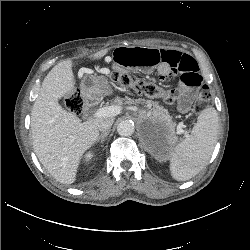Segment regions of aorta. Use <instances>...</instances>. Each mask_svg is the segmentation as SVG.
I'll return each instance as SVG.
<instances>
[{
    "label": "aorta",
    "mask_w": 250,
    "mask_h": 250,
    "mask_svg": "<svg viewBox=\"0 0 250 250\" xmlns=\"http://www.w3.org/2000/svg\"><path fill=\"white\" fill-rule=\"evenodd\" d=\"M117 132L121 136H131L134 133V124L129 120L121 121L117 126Z\"/></svg>",
    "instance_id": "obj_1"
}]
</instances>
